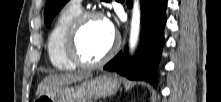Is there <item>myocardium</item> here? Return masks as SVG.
I'll return each mask as SVG.
<instances>
[{"label": "myocardium", "instance_id": "obj_1", "mask_svg": "<svg viewBox=\"0 0 221 102\" xmlns=\"http://www.w3.org/2000/svg\"><path fill=\"white\" fill-rule=\"evenodd\" d=\"M91 19L103 20V15L96 11L82 12L71 24L65 42V51L68 59L76 66L89 69L97 68L105 64L112 58L118 48V39L116 36H114L111 47L100 59L96 61H87L80 55L78 48L79 34L85 23Z\"/></svg>", "mask_w": 221, "mask_h": 102}]
</instances>
